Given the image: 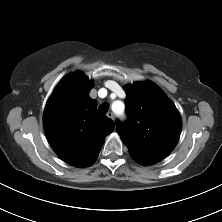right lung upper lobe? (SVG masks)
<instances>
[{"label":"right lung upper lobe","mask_w":222,"mask_h":222,"mask_svg":"<svg viewBox=\"0 0 222 222\" xmlns=\"http://www.w3.org/2000/svg\"><path fill=\"white\" fill-rule=\"evenodd\" d=\"M94 86L83 73L65 76L55 87L44 111L47 140L55 153L76 167L92 165L114 122L97 112V102L89 97Z\"/></svg>","instance_id":"1"}]
</instances>
